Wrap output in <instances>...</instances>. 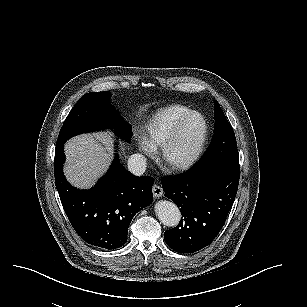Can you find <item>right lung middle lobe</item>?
I'll use <instances>...</instances> for the list:
<instances>
[{"mask_svg":"<svg viewBox=\"0 0 307 307\" xmlns=\"http://www.w3.org/2000/svg\"><path fill=\"white\" fill-rule=\"evenodd\" d=\"M109 97L110 93L107 91L90 92L82 96L64 121L56 146L63 145L69 138L80 133L105 127L114 129L122 139L130 142L131 126L109 102Z\"/></svg>","mask_w":307,"mask_h":307,"instance_id":"obj_1","label":"right lung middle lobe"}]
</instances>
